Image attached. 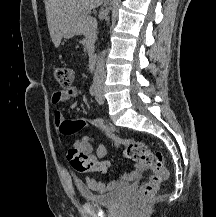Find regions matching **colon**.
Here are the masks:
<instances>
[{
  "mask_svg": "<svg viewBox=\"0 0 216 217\" xmlns=\"http://www.w3.org/2000/svg\"><path fill=\"white\" fill-rule=\"evenodd\" d=\"M54 77L63 88H70L73 82V71L64 66L54 68ZM88 122L85 120L70 121L63 125L62 131L70 134L84 127ZM100 130L105 136L121 146L125 150V157L128 161L135 163L141 169H149L152 175L136 192L134 203L140 205L150 199L158 191L169 177V172L165 166L163 154L154 151L142 142L134 140L109 125L106 121L95 119L89 122ZM67 159L71 166L80 173L91 171L100 172L105 168L104 162H95L90 155L84 153L76 147H72L67 152Z\"/></svg>",
  "mask_w": 216,
  "mask_h": 217,
  "instance_id": "obj_1",
  "label": "colon"
}]
</instances>
